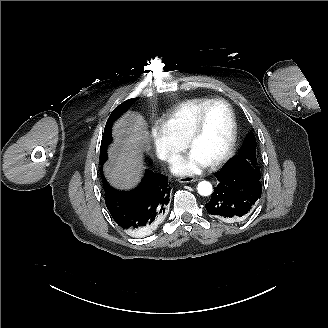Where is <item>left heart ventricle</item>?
Returning <instances> with one entry per match:
<instances>
[{
	"label": "left heart ventricle",
	"instance_id": "1",
	"mask_svg": "<svg viewBox=\"0 0 328 328\" xmlns=\"http://www.w3.org/2000/svg\"><path fill=\"white\" fill-rule=\"evenodd\" d=\"M232 134L228 108L223 104L213 106L207 113L202 130L191 143L190 149L202 154L209 163L227 149Z\"/></svg>",
	"mask_w": 328,
	"mask_h": 328
}]
</instances>
